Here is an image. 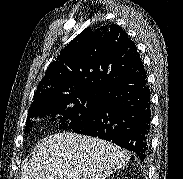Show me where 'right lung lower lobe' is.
<instances>
[{
  "label": "right lung lower lobe",
  "mask_w": 183,
  "mask_h": 179,
  "mask_svg": "<svg viewBox=\"0 0 183 179\" xmlns=\"http://www.w3.org/2000/svg\"><path fill=\"white\" fill-rule=\"evenodd\" d=\"M150 104V89L142 65L134 74L105 87L94 117L73 132L113 142L145 160L149 149Z\"/></svg>",
  "instance_id": "98d812e1"
}]
</instances>
